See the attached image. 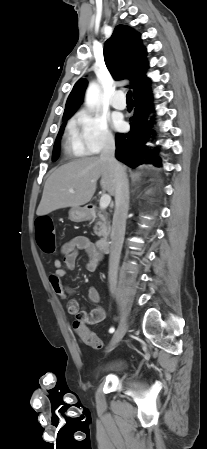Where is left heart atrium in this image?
Wrapping results in <instances>:
<instances>
[{"label": "left heart atrium", "mask_w": 207, "mask_h": 449, "mask_svg": "<svg viewBox=\"0 0 207 449\" xmlns=\"http://www.w3.org/2000/svg\"><path fill=\"white\" fill-rule=\"evenodd\" d=\"M113 125L117 130H122L124 127V122L120 117L114 118Z\"/></svg>", "instance_id": "1"}]
</instances>
